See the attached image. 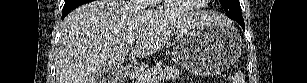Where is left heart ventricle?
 <instances>
[{"instance_id":"obj_1","label":"left heart ventricle","mask_w":307,"mask_h":83,"mask_svg":"<svg viewBox=\"0 0 307 83\" xmlns=\"http://www.w3.org/2000/svg\"><path fill=\"white\" fill-rule=\"evenodd\" d=\"M200 0H176L174 6L178 9H189L197 5ZM201 2V1H200Z\"/></svg>"}]
</instances>
